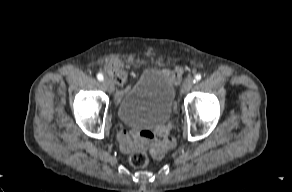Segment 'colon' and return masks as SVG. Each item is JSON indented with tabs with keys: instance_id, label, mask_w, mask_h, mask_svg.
Wrapping results in <instances>:
<instances>
[{
	"instance_id": "1",
	"label": "colon",
	"mask_w": 292,
	"mask_h": 192,
	"mask_svg": "<svg viewBox=\"0 0 292 192\" xmlns=\"http://www.w3.org/2000/svg\"><path fill=\"white\" fill-rule=\"evenodd\" d=\"M112 78L116 84L122 85L126 81V74L120 67H115L112 71ZM130 163L136 168H142L149 163V157L145 152H135L130 156Z\"/></svg>"
}]
</instances>
